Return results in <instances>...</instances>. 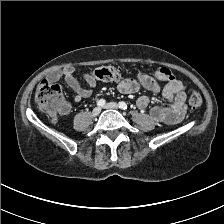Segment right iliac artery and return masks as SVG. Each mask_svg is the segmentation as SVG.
Segmentation results:
<instances>
[{"label":"right iliac artery","mask_w":224,"mask_h":224,"mask_svg":"<svg viewBox=\"0 0 224 224\" xmlns=\"http://www.w3.org/2000/svg\"><path fill=\"white\" fill-rule=\"evenodd\" d=\"M105 104H106V101H105L104 99H100V100L97 102V105L100 106V107H103Z\"/></svg>","instance_id":"obj_1"}]
</instances>
